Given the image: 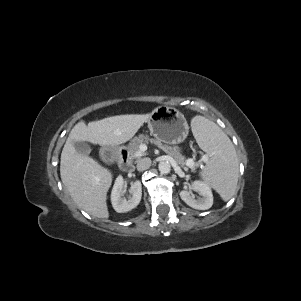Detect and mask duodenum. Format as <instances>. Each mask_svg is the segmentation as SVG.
Wrapping results in <instances>:
<instances>
[{
    "instance_id": "duodenum-1",
    "label": "duodenum",
    "mask_w": 301,
    "mask_h": 301,
    "mask_svg": "<svg viewBox=\"0 0 301 301\" xmlns=\"http://www.w3.org/2000/svg\"><path fill=\"white\" fill-rule=\"evenodd\" d=\"M103 157L106 163L115 164L119 162L122 171L130 173L134 169L133 162L126 150L120 145L107 144L103 148Z\"/></svg>"
}]
</instances>
